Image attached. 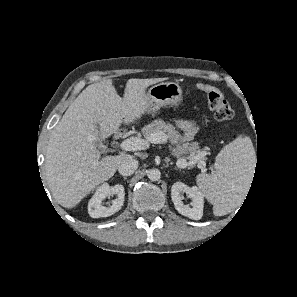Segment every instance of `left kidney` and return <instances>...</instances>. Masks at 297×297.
Masks as SVG:
<instances>
[{
  "mask_svg": "<svg viewBox=\"0 0 297 297\" xmlns=\"http://www.w3.org/2000/svg\"><path fill=\"white\" fill-rule=\"evenodd\" d=\"M181 193H186L192 200V207L185 205L182 202ZM171 198L174 203L175 209L182 214L193 220H200L203 216L204 195L197 187H189L182 182H176L171 188Z\"/></svg>",
  "mask_w": 297,
  "mask_h": 297,
  "instance_id": "1",
  "label": "left kidney"
}]
</instances>
